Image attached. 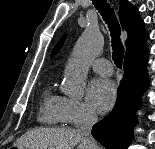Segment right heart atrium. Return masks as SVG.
<instances>
[{"mask_svg": "<svg viewBox=\"0 0 155 149\" xmlns=\"http://www.w3.org/2000/svg\"><path fill=\"white\" fill-rule=\"evenodd\" d=\"M63 122L73 126H83L96 122L95 113L82 101L62 97Z\"/></svg>", "mask_w": 155, "mask_h": 149, "instance_id": "1", "label": "right heart atrium"}]
</instances>
